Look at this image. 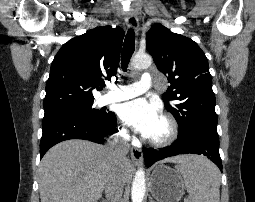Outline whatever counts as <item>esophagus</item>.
Returning <instances> with one entry per match:
<instances>
[{"label": "esophagus", "instance_id": "34e87169", "mask_svg": "<svg viewBox=\"0 0 255 202\" xmlns=\"http://www.w3.org/2000/svg\"><path fill=\"white\" fill-rule=\"evenodd\" d=\"M126 23H127V26L129 28L133 29L135 31V33L137 34L138 29H139L138 20L131 12H128L126 15ZM130 154H131V158H132L133 162L136 165H139L142 163V160H143L142 150H140L138 148H131Z\"/></svg>", "mask_w": 255, "mask_h": 202}]
</instances>
